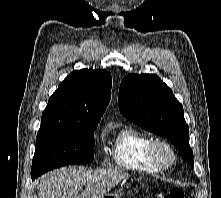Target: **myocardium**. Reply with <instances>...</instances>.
Masks as SVG:
<instances>
[{"instance_id":"f54148a6","label":"myocardium","mask_w":221,"mask_h":198,"mask_svg":"<svg viewBox=\"0 0 221 198\" xmlns=\"http://www.w3.org/2000/svg\"><path fill=\"white\" fill-rule=\"evenodd\" d=\"M148 156L160 169L171 168L177 159L175 148L162 138L151 139L148 145Z\"/></svg>"}]
</instances>
